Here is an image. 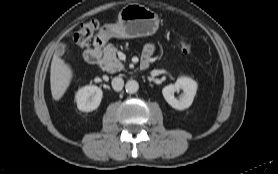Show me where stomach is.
Wrapping results in <instances>:
<instances>
[{"instance_id": "0dacf381", "label": "stomach", "mask_w": 278, "mask_h": 174, "mask_svg": "<svg viewBox=\"0 0 278 174\" xmlns=\"http://www.w3.org/2000/svg\"><path fill=\"white\" fill-rule=\"evenodd\" d=\"M159 27L158 15L137 3H131L122 8L118 14V22L104 25L99 36L104 40L112 37L131 39L153 35Z\"/></svg>"}]
</instances>
